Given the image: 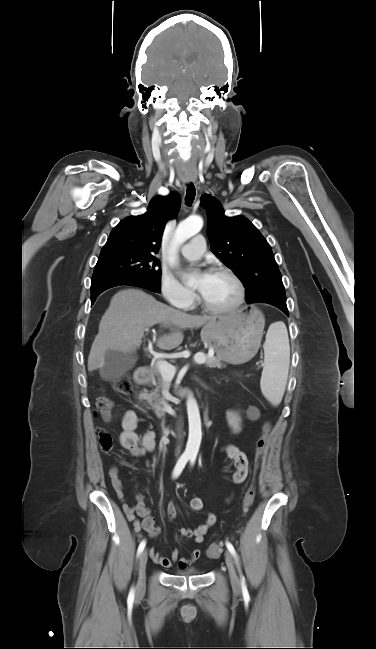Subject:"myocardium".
<instances>
[{"label": "myocardium", "mask_w": 376, "mask_h": 649, "mask_svg": "<svg viewBox=\"0 0 376 649\" xmlns=\"http://www.w3.org/2000/svg\"><path fill=\"white\" fill-rule=\"evenodd\" d=\"M213 273H222L229 276L237 287V297L229 305L224 307H215L207 303L202 294L198 292L199 305L209 313L212 314H228L237 310L245 301L246 291L245 286L240 277L230 268L225 266H217L213 268Z\"/></svg>", "instance_id": "myocardium-1"}]
</instances>
